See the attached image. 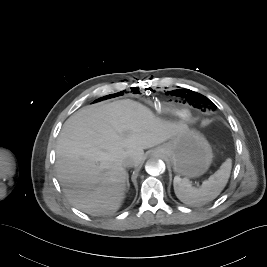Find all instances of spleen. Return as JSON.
Listing matches in <instances>:
<instances>
[{"label": "spleen", "mask_w": 267, "mask_h": 267, "mask_svg": "<svg viewBox=\"0 0 267 267\" xmlns=\"http://www.w3.org/2000/svg\"><path fill=\"white\" fill-rule=\"evenodd\" d=\"M232 168L231 159H227L220 168L203 181L200 188L193 187L186 178L174 177V192L177 198L190 205L200 206L215 199L226 186Z\"/></svg>", "instance_id": "3e777b00"}]
</instances>
